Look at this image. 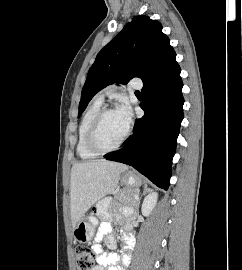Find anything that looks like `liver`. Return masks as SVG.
I'll return each instance as SVG.
<instances>
[{"mask_svg":"<svg viewBox=\"0 0 242 270\" xmlns=\"http://www.w3.org/2000/svg\"><path fill=\"white\" fill-rule=\"evenodd\" d=\"M127 165L103 159L76 163L71 170V221L73 228L96 202L115 191Z\"/></svg>","mask_w":242,"mask_h":270,"instance_id":"1","label":"liver"}]
</instances>
